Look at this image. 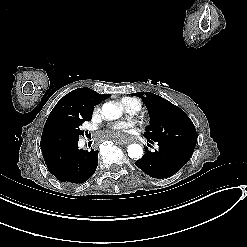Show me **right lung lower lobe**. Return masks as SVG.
Here are the masks:
<instances>
[{
  "mask_svg": "<svg viewBox=\"0 0 247 247\" xmlns=\"http://www.w3.org/2000/svg\"><path fill=\"white\" fill-rule=\"evenodd\" d=\"M47 168L61 182L83 183L96 171L98 151H83L78 141L55 149L42 150Z\"/></svg>",
  "mask_w": 247,
  "mask_h": 247,
  "instance_id": "obj_1",
  "label": "right lung lower lobe"
}]
</instances>
